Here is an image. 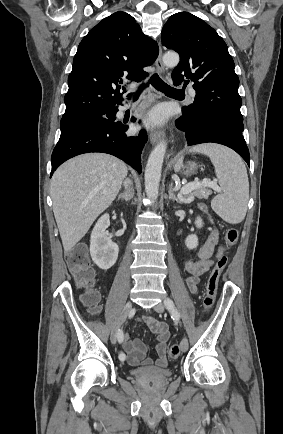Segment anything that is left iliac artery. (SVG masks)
I'll return each mask as SVG.
<instances>
[{"label":"left iliac artery","mask_w":283,"mask_h":434,"mask_svg":"<svg viewBox=\"0 0 283 434\" xmlns=\"http://www.w3.org/2000/svg\"><path fill=\"white\" fill-rule=\"evenodd\" d=\"M165 307L170 311L173 319H179L180 313L176 309L174 302L170 298L164 300Z\"/></svg>","instance_id":"obj_1"}]
</instances>
